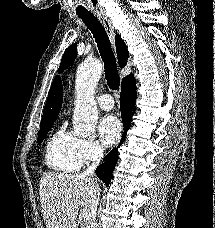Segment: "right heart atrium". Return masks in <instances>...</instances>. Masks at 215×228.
I'll use <instances>...</instances> for the list:
<instances>
[{"mask_svg": "<svg viewBox=\"0 0 215 228\" xmlns=\"http://www.w3.org/2000/svg\"><path fill=\"white\" fill-rule=\"evenodd\" d=\"M80 158L84 164L98 162L102 159L105 148L95 140H81L80 142Z\"/></svg>", "mask_w": 215, "mask_h": 228, "instance_id": "right-heart-atrium-1", "label": "right heart atrium"}]
</instances>
